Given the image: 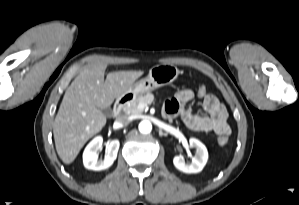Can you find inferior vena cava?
Wrapping results in <instances>:
<instances>
[{"instance_id":"inferior-vena-cava-1","label":"inferior vena cava","mask_w":299,"mask_h":205,"mask_svg":"<svg viewBox=\"0 0 299 205\" xmlns=\"http://www.w3.org/2000/svg\"><path fill=\"white\" fill-rule=\"evenodd\" d=\"M128 123H129V119L126 116H120L115 121V124L118 125L119 127L127 125Z\"/></svg>"}]
</instances>
